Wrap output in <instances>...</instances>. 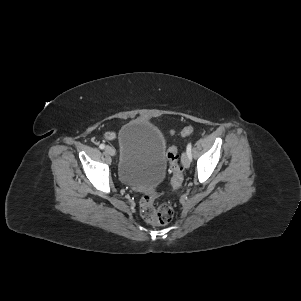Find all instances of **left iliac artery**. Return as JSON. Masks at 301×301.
I'll return each instance as SVG.
<instances>
[{
  "instance_id": "left-iliac-artery-1",
  "label": "left iliac artery",
  "mask_w": 301,
  "mask_h": 301,
  "mask_svg": "<svg viewBox=\"0 0 301 301\" xmlns=\"http://www.w3.org/2000/svg\"><path fill=\"white\" fill-rule=\"evenodd\" d=\"M191 148H192V144L189 143V144L187 145L186 152H187V154H188L190 160L192 159V156H191Z\"/></svg>"
}]
</instances>
